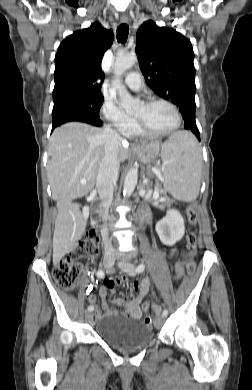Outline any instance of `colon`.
I'll use <instances>...</instances> for the list:
<instances>
[{
  "instance_id": "1",
  "label": "colon",
  "mask_w": 252,
  "mask_h": 390,
  "mask_svg": "<svg viewBox=\"0 0 252 390\" xmlns=\"http://www.w3.org/2000/svg\"><path fill=\"white\" fill-rule=\"evenodd\" d=\"M187 218L191 226L195 227L198 221V215L194 206L187 208ZM187 250L188 254L186 257V268L191 274L195 269L194 254L196 251V230H192L187 234ZM98 236L95 233L87 234L79 239L75 247L72 249L70 254L58 262L55 263L53 268V276L56 282L64 289L72 290L75 289L79 284L81 275V265L79 260L87 256H94L98 253ZM181 267H177V271H180ZM135 289L137 286L135 285ZM146 307L149 303L145 304ZM145 322L151 324L152 315L146 314Z\"/></svg>"
}]
</instances>
